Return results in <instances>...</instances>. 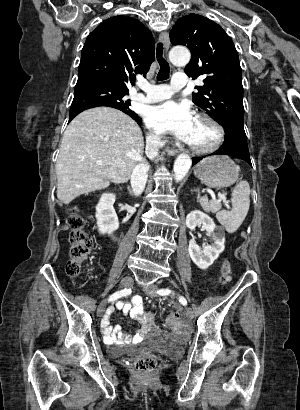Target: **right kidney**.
Returning <instances> with one entry per match:
<instances>
[{"mask_svg":"<svg viewBox=\"0 0 300 410\" xmlns=\"http://www.w3.org/2000/svg\"><path fill=\"white\" fill-rule=\"evenodd\" d=\"M116 196L111 193L102 194L96 206V219L101 234L112 233L119 228L118 217L113 208Z\"/></svg>","mask_w":300,"mask_h":410,"instance_id":"obj_1","label":"right kidney"}]
</instances>
